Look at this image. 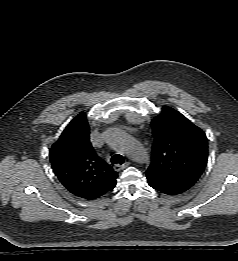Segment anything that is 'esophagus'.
Wrapping results in <instances>:
<instances>
[{"mask_svg": "<svg viewBox=\"0 0 238 261\" xmlns=\"http://www.w3.org/2000/svg\"><path fill=\"white\" fill-rule=\"evenodd\" d=\"M130 165V162H125L124 164L120 165V164H116L114 166V170L115 171H120V170H123L125 169L126 167H128Z\"/></svg>", "mask_w": 238, "mask_h": 261, "instance_id": "34e87169", "label": "esophagus"}]
</instances>
